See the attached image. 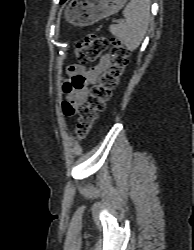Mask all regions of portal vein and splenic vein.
Listing matches in <instances>:
<instances>
[{
  "label": "portal vein and splenic vein",
  "instance_id": "obj_1",
  "mask_svg": "<svg viewBox=\"0 0 194 250\" xmlns=\"http://www.w3.org/2000/svg\"><path fill=\"white\" fill-rule=\"evenodd\" d=\"M116 22H117V23H122V22H123V20H117Z\"/></svg>",
  "mask_w": 194,
  "mask_h": 250
}]
</instances>
